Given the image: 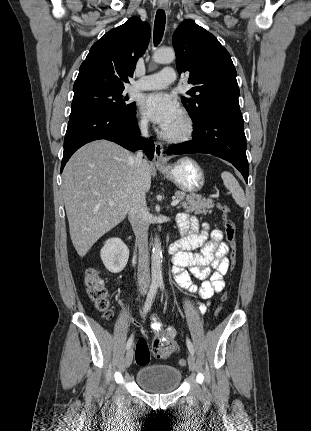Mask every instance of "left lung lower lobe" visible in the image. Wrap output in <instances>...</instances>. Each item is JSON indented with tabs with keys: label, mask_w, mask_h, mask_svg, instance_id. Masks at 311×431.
<instances>
[{
	"label": "left lung lower lobe",
	"mask_w": 311,
	"mask_h": 431,
	"mask_svg": "<svg viewBox=\"0 0 311 431\" xmlns=\"http://www.w3.org/2000/svg\"><path fill=\"white\" fill-rule=\"evenodd\" d=\"M208 153L232 163L248 181L246 137L240 108H223L195 124L193 139L169 146L167 154Z\"/></svg>",
	"instance_id": "obj_1"
}]
</instances>
